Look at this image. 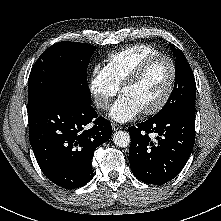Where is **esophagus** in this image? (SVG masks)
I'll use <instances>...</instances> for the list:
<instances>
[{
  "mask_svg": "<svg viewBox=\"0 0 221 221\" xmlns=\"http://www.w3.org/2000/svg\"><path fill=\"white\" fill-rule=\"evenodd\" d=\"M112 129H113L114 131L120 130V129H122V126L119 125V124H117V123H115V122H112Z\"/></svg>",
  "mask_w": 221,
  "mask_h": 221,
  "instance_id": "esophagus-1",
  "label": "esophagus"
}]
</instances>
